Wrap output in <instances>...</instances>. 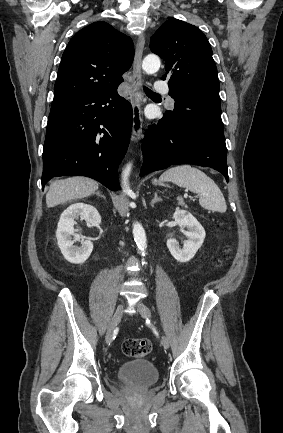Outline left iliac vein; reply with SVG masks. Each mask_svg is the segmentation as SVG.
I'll list each match as a JSON object with an SVG mask.
<instances>
[{"instance_id": "4c4485c4", "label": "left iliac vein", "mask_w": 283, "mask_h": 433, "mask_svg": "<svg viewBox=\"0 0 283 433\" xmlns=\"http://www.w3.org/2000/svg\"><path fill=\"white\" fill-rule=\"evenodd\" d=\"M137 309L143 318L151 317L150 309L144 303L139 302L137 305ZM161 344L164 348L170 347L169 339L165 335L161 336Z\"/></svg>"}]
</instances>
